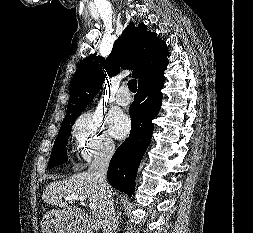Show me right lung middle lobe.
Returning a JSON list of instances; mask_svg holds the SVG:
<instances>
[{"mask_svg":"<svg viewBox=\"0 0 253 233\" xmlns=\"http://www.w3.org/2000/svg\"><path fill=\"white\" fill-rule=\"evenodd\" d=\"M80 113L65 118L61 124L60 131L55 140L52 153L49 160V168H53L57 165H61L67 161L66 145L71 132V127Z\"/></svg>","mask_w":253,"mask_h":233,"instance_id":"1","label":"right lung middle lobe"}]
</instances>
